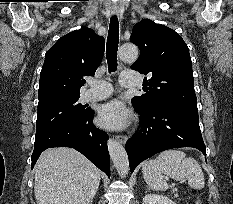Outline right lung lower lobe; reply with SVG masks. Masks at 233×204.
Returning <instances> with one entry per match:
<instances>
[{"instance_id":"98d812e1","label":"right lung lower lobe","mask_w":233,"mask_h":204,"mask_svg":"<svg viewBox=\"0 0 233 204\" xmlns=\"http://www.w3.org/2000/svg\"><path fill=\"white\" fill-rule=\"evenodd\" d=\"M94 112L73 123H65L35 137L32 169L40 154L51 147H71L86 156L110 177V157L107 148L108 135L93 124Z\"/></svg>"}]
</instances>
